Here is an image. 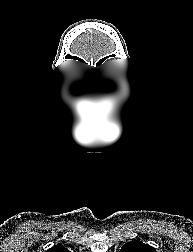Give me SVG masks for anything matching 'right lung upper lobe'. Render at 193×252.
Here are the masks:
<instances>
[{
    "instance_id": "right-lung-upper-lobe-1",
    "label": "right lung upper lobe",
    "mask_w": 193,
    "mask_h": 252,
    "mask_svg": "<svg viewBox=\"0 0 193 252\" xmlns=\"http://www.w3.org/2000/svg\"><path fill=\"white\" fill-rule=\"evenodd\" d=\"M47 252H69L64 246L61 244L50 248Z\"/></svg>"
}]
</instances>
